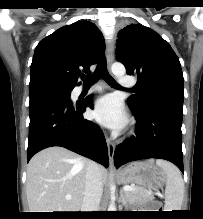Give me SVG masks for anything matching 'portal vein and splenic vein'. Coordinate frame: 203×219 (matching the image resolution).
Returning a JSON list of instances; mask_svg holds the SVG:
<instances>
[{
    "label": "portal vein and splenic vein",
    "instance_id": "obj_1",
    "mask_svg": "<svg viewBox=\"0 0 203 219\" xmlns=\"http://www.w3.org/2000/svg\"><path fill=\"white\" fill-rule=\"evenodd\" d=\"M123 190L124 191H132V190H134V188L131 187V186H124ZM66 199H71V196L70 195H66Z\"/></svg>",
    "mask_w": 203,
    "mask_h": 219
}]
</instances>
